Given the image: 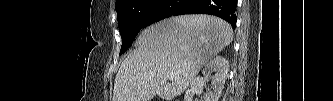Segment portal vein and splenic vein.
Segmentation results:
<instances>
[{"instance_id": "portal-vein-and-splenic-vein-1", "label": "portal vein and splenic vein", "mask_w": 333, "mask_h": 101, "mask_svg": "<svg viewBox=\"0 0 333 101\" xmlns=\"http://www.w3.org/2000/svg\"><path fill=\"white\" fill-rule=\"evenodd\" d=\"M167 78H168V79H172V78H173V75L170 74V75L167 76Z\"/></svg>"}]
</instances>
